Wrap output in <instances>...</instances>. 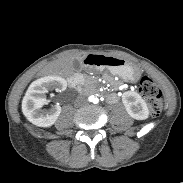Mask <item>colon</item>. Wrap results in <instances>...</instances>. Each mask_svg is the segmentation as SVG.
<instances>
[{
	"label": "colon",
	"mask_w": 183,
	"mask_h": 183,
	"mask_svg": "<svg viewBox=\"0 0 183 183\" xmlns=\"http://www.w3.org/2000/svg\"><path fill=\"white\" fill-rule=\"evenodd\" d=\"M110 59L105 56H91L88 59V63L95 66H109ZM139 91L147 99L151 115L158 116L163 109V98L162 91L157 83L149 77H142Z\"/></svg>",
	"instance_id": "colon-1"
}]
</instances>
